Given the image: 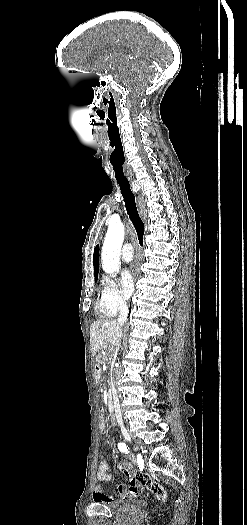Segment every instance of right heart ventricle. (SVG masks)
I'll use <instances>...</instances> for the list:
<instances>
[{"label": "right heart ventricle", "mask_w": 247, "mask_h": 525, "mask_svg": "<svg viewBox=\"0 0 247 525\" xmlns=\"http://www.w3.org/2000/svg\"><path fill=\"white\" fill-rule=\"evenodd\" d=\"M95 315L96 317H114L116 316V314H112L106 311L99 302H97L95 305Z\"/></svg>", "instance_id": "right-heart-ventricle-1"}]
</instances>
